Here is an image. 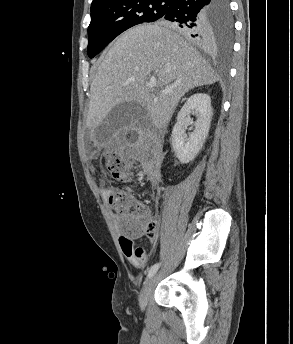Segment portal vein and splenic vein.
Instances as JSON below:
<instances>
[{"label":"portal vein and splenic vein","instance_id":"portal-vein-and-splenic-vein-1","mask_svg":"<svg viewBox=\"0 0 293 344\" xmlns=\"http://www.w3.org/2000/svg\"><path fill=\"white\" fill-rule=\"evenodd\" d=\"M156 85H157V82L154 78H152L147 84L148 88L150 89H154ZM170 91H171L170 89H165V90H162L161 92L166 94V93H169Z\"/></svg>","mask_w":293,"mask_h":344}]
</instances>
